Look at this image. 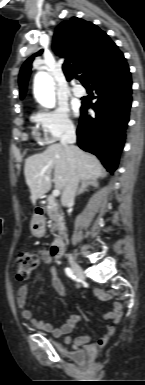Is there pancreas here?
I'll use <instances>...</instances> for the list:
<instances>
[{
    "instance_id": "pancreas-1",
    "label": "pancreas",
    "mask_w": 145,
    "mask_h": 385,
    "mask_svg": "<svg viewBox=\"0 0 145 385\" xmlns=\"http://www.w3.org/2000/svg\"><path fill=\"white\" fill-rule=\"evenodd\" d=\"M47 214L51 221L54 222L53 228H58L62 225V216L58 212V205L53 198L48 199Z\"/></svg>"
}]
</instances>
